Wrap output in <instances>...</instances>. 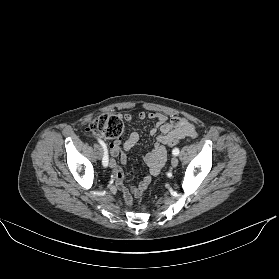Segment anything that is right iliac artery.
<instances>
[{
  "label": "right iliac artery",
  "instance_id": "82829eb1",
  "mask_svg": "<svg viewBox=\"0 0 279 279\" xmlns=\"http://www.w3.org/2000/svg\"><path fill=\"white\" fill-rule=\"evenodd\" d=\"M99 141V143L101 144V146L103 147V149H104V156H103V160H102V164H103V166H107L108 165V161H109V158H108V149H107V146H106V144L103 142V141H101V140H98Z\"/></svg>",
  "mask_w": 279,
  "mask_h": 279
}]
</instances>
